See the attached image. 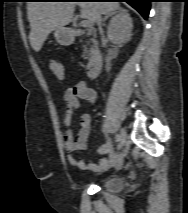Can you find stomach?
<instances>
[{"instance_id":"stomach-1","label":"stomach","mask_w":188,"mask_h":213,"mask_svg":"<svg viewBox=\"0 0 188 213\" xmlns=\"http://www.w3.org/2000/svg\"><path fill=\"white\" fill-rule=\"evenodd\" d=\"M55 39L60 45L69 46L74 41V36L69 28H58L54 32Z\"/></svg>"}]
</instances>
